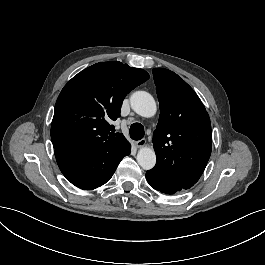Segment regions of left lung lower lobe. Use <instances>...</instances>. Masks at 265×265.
<instances>
[{
	"label": "left lung lower lobe",
	"mask_w": 265,
	"mask_h": 265,
	"mask_svg": "<svg viewBox=\"0 0 265 265\" xmlns=\"http://www.w3.org/2000/svg\"><path fill=\"white\" fill-rule=\"evenodd\" d=\"M146 179L152 188L165 194H174L185 190L180 185L153 170L147 171Z\"/></svg>",
	"instance_id": "obj_1"
}]
</instances>
